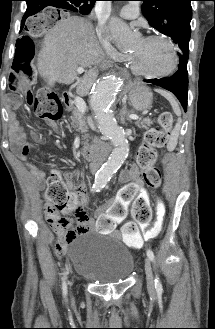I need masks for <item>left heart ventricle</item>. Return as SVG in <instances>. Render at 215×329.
Segmentation results:
<instances>
[{
	"mask_svg": "<svg viewBox=\"0 0 215 329\" xmlns=\"http://www.w3.org/2000/svg\"><path fill=\"white\" fill-rule=\"evenodd\" d=\"M139 66L146 72L161 73L168 71L174 62L169 44L163 40L139 39L130 51Z\"/></svg>",
	"mask_w": 215,
	"mask_h": 329,
	"instance_id": "1",
	"label": "left heart ventricle"
}]
</instances>
